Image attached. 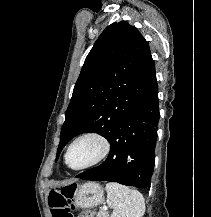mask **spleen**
I'll list each match as a JSON object with an SVG mask.
<instances>
[{"mask_svg":"<svg viewBox=\"0 0 211 217\" xmlns=\"http://www.w3.org/2000/svg\"><path fill=\"white\" fill-rule=\"evenodd\" d=\"M107 204L113 209L111 217H142L145 201L142 194L116 182L106 184Z\"/></svg>","mask_w":211,"mask_h":217,"instance_id":"1","label":"spleen"}]
</instances>
